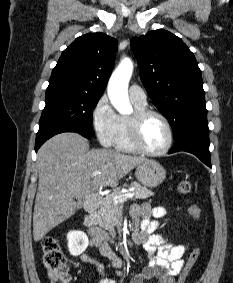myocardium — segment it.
<instances>
[{"label": "myocardium", "mask_w": 233, "mask_h": 283, "mask_svg": "<svg viewBox=\"0 0 233 283\" xmlns=\"http://www.w3.org/2000/svg\"><path fill=\"white\" fill-rule=\"evenodd\" d=\"M150 117H158L163 121L165 124L167 131H168V141L165 147L159 151H151L147 149L141 138V132H142V127L147 119ZM128 130H129V137L132 145L134 148L138 151L141 152L145 155L149 156H161L167 153L172 145H173V140H174V133L172 126L167 119L165 115L162 113L151 110V109H142V110H136L134 114L128 118Z\"/></svg>", "instance_id": "obj_1"}]
</instances>
